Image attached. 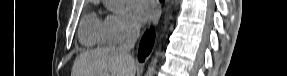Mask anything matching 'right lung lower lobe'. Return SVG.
I'll return each mask as SVG.
<instances>
[{"label": "right lung lower lobe", "mask_w": 287, "mask_h": 76, "mask_svg": "<svg viewBox=\"0 0 287 76\" xmlns=\"http://www.w3.org/2000/svg\"><path fill=\"white\" fill-rule=\"evenodd\" d=\"M162 1V0H161ZM155 39V33L153 27L150 30L146 31L144 34L138 52V60L144 61L145 57L151 52Z\"/></svg>", "instance_id": "98d812e1"}]
</instances>
